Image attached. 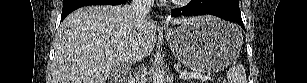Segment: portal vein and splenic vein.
I'll list each match as a JSON object with an SVG mask.
<instances>
[{
    "instance_id": "obj_1",
    "label": "portal vein and splenic vein",
    "mask_w": 307,
    "mask_h": 83,
    "mask_svg": "<svg viewBox=\"0 0 307 83\" xmlns=\"http://www.w3.org/2000/svg\"><path fill=\"white\" fill-rule=\"evenodd\" d=\"M106 54H109V52H106ZM179 77L182 78V79H187V78H196V79H200V80H203V81H206V80H211V75L207 74V75H203V74H196V73H193V74H188V73H185V72H182L179 74Z\"/></svg>"
}]
</instances>
